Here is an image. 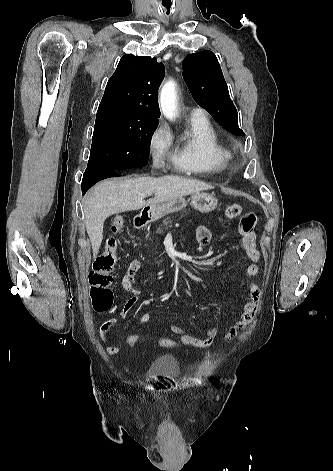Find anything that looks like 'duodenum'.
I'll use <instances>...</instances> for the list:
<instances>
[{"mask_svg": "<svg viewBox=\"0 0 333 471\" xmlns=\"http://www.w3.org/2000/svg\"><path fill=\"white\" fill-rule=\"evenodd\" d=\"M149 220L148 212L144 210L142 213H140L134 220V226L136 228H141L144 225L147 224Z\"/></svg>", "mask_w": 333, "mask_h": 471, "instance_id": "410a0bca", "label": "duodenum"}]
</instances>
